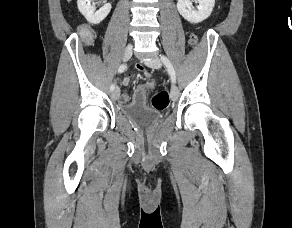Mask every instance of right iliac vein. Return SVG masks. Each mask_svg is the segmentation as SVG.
<instances>
[{
    "mask_svg": "<svg viewBox=\"0 0 292 228\" xmlns=\"http://www.w3.org/2000/svg\"><path fill=\"white\" fill-rule=\"evenodd\" d=\"M132 53H133V46L131 44H129V45H127V47L124 50V53H123V61H128L131 58ZM119 95H120V91H119L118 88H116L112 92V98L113 99H118Z\"/></svg>",
    "mask_w": 292,
    "mask_h": 228,
    "instance_id": "1",
    "label": "right iliac vein"
}]
</instances>
